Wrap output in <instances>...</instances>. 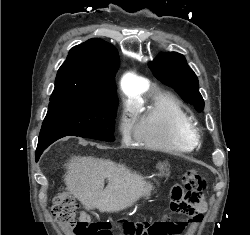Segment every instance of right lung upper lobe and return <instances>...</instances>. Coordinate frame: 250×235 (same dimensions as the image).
I'll return each instance as SVG.
<instances>
[{"label":"right lung upper lobe","instance_id":"right-lung-upper-lobe-1","mask_svg":"<svg viewBox=\"0 0 250 235\" xmlns=\"http://www.w3.org/2000/svg\"><path fill=\"white\" fill-rule=\"evenodd\" d=\"M119 56L112 44L93 38L73 47L59 68L51 98L116 93Z\"/></svg>","mask_w":250,"mask_h":235}]
</instances>
